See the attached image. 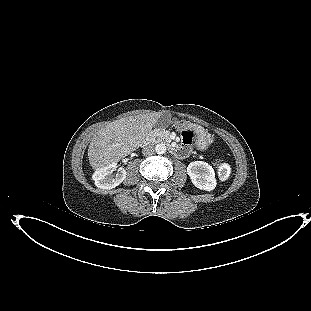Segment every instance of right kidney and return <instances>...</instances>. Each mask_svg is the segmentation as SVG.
<instances>
[{
  "instance_id": "obj_1",
  "label": "right kidney",
  "mask_w": 311,
  "mask_h": 311,
  "mask_svg": "<svg viewBox=\"0 0 311 311\" xmlns=\"http://www.w3.org/2000/svg\"><path fill=\"white\" fill-rule=\"evenodd\" d=\"M116 169V164H110L95 171L93 179L95 185L101 189H112L118 186L126 178V170L119 168L116 174H112Z\"/></svg>"
}]
</instances>
